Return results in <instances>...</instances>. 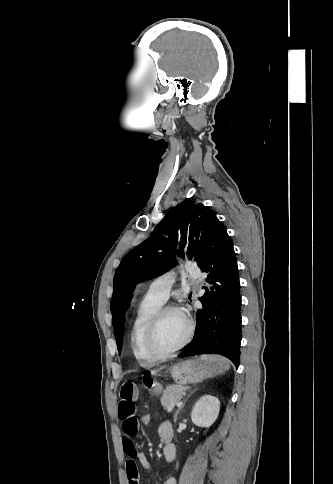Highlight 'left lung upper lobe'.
<instances>
[{"label": "left lung upper lobe", "mask_w": 333, "mask_h": 484, "mask_svg": "<svg viewBox=\"0 0 333 484\" xmlns=\"http://www.w3.org/2000/svg\"><path fill=\"white\" fill-rule=\"evenodd\" d=\"M214 212L187 200L170 209L152 235L130 251L116 269L111 311L118 351L122 347L125 309L136 283L154 278L174 265L176 246L187 247L189 255L199 257ZM184 257L182 251L177 252Z\"/></svg>", "instance_id": "5c2ea615"}]
</instances>
